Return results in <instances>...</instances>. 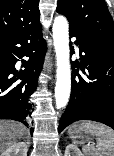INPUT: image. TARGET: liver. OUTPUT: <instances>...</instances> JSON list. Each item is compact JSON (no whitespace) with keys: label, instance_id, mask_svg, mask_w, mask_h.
Listing matches in <instances>:
<instances>
[{"label":"liver","instance_id":"obj_1","mask_svg":"<svg viewBox=\"0 0 114 156\" xmlns=\"http://www.w3.org/2000/svg\"><path fill=\"white\" fill-rule=\"evenodd\" d=\"M27 132L26 127L21 123L0 120V153L24 138Z\"/></svg>","mask_w":114,"mask_h":156}]
</instances>
